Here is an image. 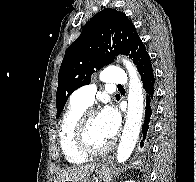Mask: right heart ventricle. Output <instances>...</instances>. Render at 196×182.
<instances>
[{
  "mask_svg": "<svg viewBox=\"0 0 196 182\" xmlns=\"http://www.w3.org/2000/svg\"><path fill=\"white\" fill-rule=\"evenodd\" d=\"M86 106L70 101L59 126V142L62 153L70 164L79 165L86 161L87 157L79 153L73 144V130L79 116L86 110Z\"/></svg>",
  "mask_w": 196,
  "mask_h": 182,
  "instance_id": "obj_1",
  "label": "right heart ventricle"
}]
</instances>
